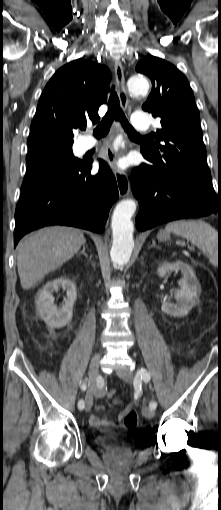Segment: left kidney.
Wrapping results in <instances>:
<instances>
[{"mask_svg":"<svg viewBox=\"0 0 221 510\" xmlns=\"http://www.w3.org/2000/svg\"><path fill=\"white\" fill-rule=\"evenodd\" d=\"M169 271H181L183 278L178 282L180 289L174 293L177 303H171L170 299L163 301L161 310L173 317H184L192 309L200 294V284L193 269L182 261L163 262L157 269L160 277H164Z\"/></svg>","mask_w":221,"mask_h":510,"instance_id":"5707ae66","label":"left kidney"}]
</instances>
